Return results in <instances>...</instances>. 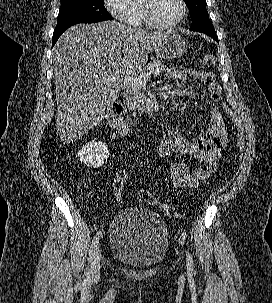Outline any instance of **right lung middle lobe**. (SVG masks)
<instances>
[{"instance_id": "right-lung-middle-lobe-1", "label": "right lung middle lobe", "mask_w": 272, "mask_h": 303, "mask_svg": "<svg viewBox=\"0 0 272 303\" xmlns=\"http://www.w3.org/2000/svg\"><path fill=\"white\" fill-rule=\"evenodd\" d=\"M112 20L103 0H61L58 22L54 32L68 29L78 23H96Z\"/></svg>"}]
</instances>
